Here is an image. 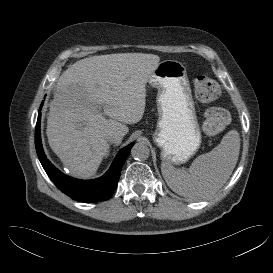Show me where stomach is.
I'll return each mask as SVG.
<instances>
[{
    "mask_svg": "<svg viewBox=\"0 0 273 273\" xmlns=\"http://www.w3.org/2000/svg\"><path fill=\"white\" fill-rule=\"evenodd\" d=\"M148 82L158 91L159 118L153 140L161 150V159L169 164L185 163L201 145L186 67L177 60H164Z\"/></svg>",
    "mask_w": 273,
    "mask_h": 273,
    "instance_id": "1",
    "label": "stomach"
}]
</instances>
